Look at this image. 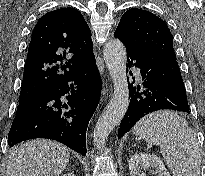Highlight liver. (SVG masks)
I'll use <instances>...</instances> for the list:
<instances>
[{
	"mask_svg": "<svg viewBox=\"0 0 205 176\" xmlns=\"http://www.w3.org/2000/svg\"><path fill=\"white\" fill-rule=\"evenodd\" d=\"M69 157V149L56 141L31 140L11 151L8 176H60Z\"/></svg>",
	"mask_w": 205,
	"mask_h": 176,
	"instance_id": "6515ba94",
	"label": "liver"
}]
</instances>
